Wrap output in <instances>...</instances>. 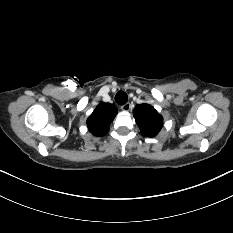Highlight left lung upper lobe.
Segmentation results:
<instances>
[{"label":"left lung upper lobe","mask_w":233,"mask_h":233,"mask_svg":"<svg viewBox=\"0 0 233 233\" xmlns=\"http://www.w3.org/2000/svg\"><path fill=\"white\" fill-rule=\"evenodd\" d=\"M134 118L145 137L156 136L163 126L162 116L146 103L135 106Z\"/></svg>","instance_id":"1"}]
</instances>
